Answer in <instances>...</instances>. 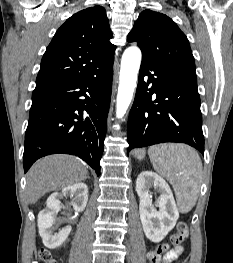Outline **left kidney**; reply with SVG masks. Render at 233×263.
I'll return each instance as SVG.
<instances>
[{"label":"left kidney","instance_id":"5707ae66","mask_svg":"<svg viewBox=\"0 0 233 263\" xmlns=\"http://www.w3.org/2000/svg\"><path fill=\"white\" fill-rule=\"evenodd\" d=\"M152 187L160 193L156 202L159 211L152 205V195L149 193ZM136 191L140 198L139 213L143 231L149 240L158 243L174 228L179 218L172 191L162 177L151 171H143L138 175Z\"/></svg>","mask_w":233,"mask_h":263}]
</instances>
